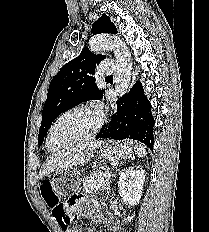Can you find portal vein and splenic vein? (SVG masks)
<instances>
[{
    "label": "portal vein and splenic vein",
    "instance_id": "1",
    "mask_svg": "<svg viewBox=\"0 0 209 232\" xmlns=\"http://www.w3.org/2000/svg\"><path fill=\"white\" fill-rule=\"evenodd\" d=\"M105 174H106V175H108V176L110 177V173H109V171H108V172H106Z\"/></svg>",
    "mask_w": 209,
    "mask_h": 232
}]
</instances>
